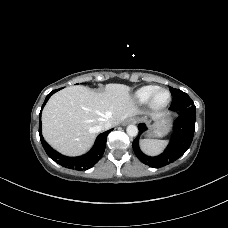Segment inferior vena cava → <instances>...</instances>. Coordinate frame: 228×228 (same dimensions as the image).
<instances>
[{
	"instance_id": "602c4592",
	"label": "inferior vena cava",
	"mask_w": 228,
	"mask_h": 228,
	"mask_svg": "<svg viewBox=\"0 0 228 228\" xmlns=\"http://www.w3.org/2000/svg\"><path fill=\"white\" fill-rule=\"evenodd\" d=\"M112 123L109 122V121H105V122H101L98 126H97V129L98 131H105V130H108L112 127Z\"/></svg>"
}]
</instances>
